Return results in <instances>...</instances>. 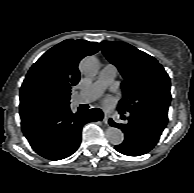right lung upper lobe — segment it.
I'll list each match as a JSON object with an SVG mask.
<instances>
[{
  "label": "right lung upper lobe",
  "instance_id": "right-lung-upper-lobe-1",
  "mask_svg": "<svg viewBox=\"0 0 194 193\" xmlns=\"http://www.w3.org/2000/svg\"><path fill=\"white\" fill-rule=\"evenodd\" d=\"M100 49L96 42L65 40L44 53L28 71L20 90V115L42 111L41 105L70 100L80 80L78 63Z\"/></svg>",
  "mask_w": 194,
  "mask_h": 193
}]
</instances>
